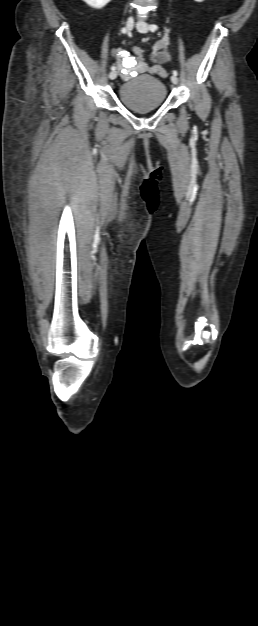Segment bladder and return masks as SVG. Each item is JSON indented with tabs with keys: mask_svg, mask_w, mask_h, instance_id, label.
I'll list each match as a JSON object with an SVG mask.
<instances>
[{
	"mask_svg": "<svg viewBox=\"0 0 258 626\" xmlns=\"http://www.w3.org/2000/svg\"><path fill=\"white\" fill-rule=\"evenodd\" d=\"M167 97V88L158 78L140 75L123 82L119 88L122 104L138 113L153 111L161 107Z\"/></svg>",
	"mask_w": 258,
	"mask_h": 626,
	"instance_id": "obj_1",
	"label": "bladder"
}]
</instances>
